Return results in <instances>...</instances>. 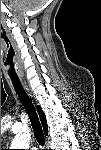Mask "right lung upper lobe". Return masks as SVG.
Masks as SVG:
<instances>
[{"label":"right lung upper lobe","instance_id":"right-lung-upper-lobe-1","mask_svg":"<svg viewBox=\"0 0 101 150\" xmlns=\"http://www.w3.org/2000/svg\"><path fill=\"white\" fill-rule=\"evenodd\" d=\"M37 111H38V114H39V117H40V120H41L43 129H44V132L47 133V131H48V126H47L45 114H44V112L42 111L41 107H39V106L37 107Z\"/></svg>","mask_w":101,"mask_h":150}]
</instances>
